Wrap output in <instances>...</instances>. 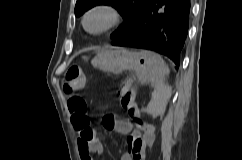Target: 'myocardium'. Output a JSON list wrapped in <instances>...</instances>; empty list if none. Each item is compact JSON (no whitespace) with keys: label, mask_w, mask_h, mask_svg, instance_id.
Instances as JSON below:
<instances>
[{"label":"myocardium","mask_w":242,"mask_h":160,"mask_svg":"<svg viewBox=\"0 0 242 160\" xmlns=\"http://www.w3.org/2000/svg\"><path fill=\"white\" fill-rule=\"evenodd\" d=\"M98 11H104V12L108 13L109 20L104 27H102L99 30L93 31L88 28L87 21H88V18L93 13L98 12ZM122 21H123V15L118 7H116L115 5L110 4V3H98V4H95L91 7H89L85 11V13L83 14V17H82V26L88 34L93 35V36H100V35L106 34L110 31L114 30L115 28H117L122 23Z\"/></svg>","instance_id":"obj_1"}]
</instances>
